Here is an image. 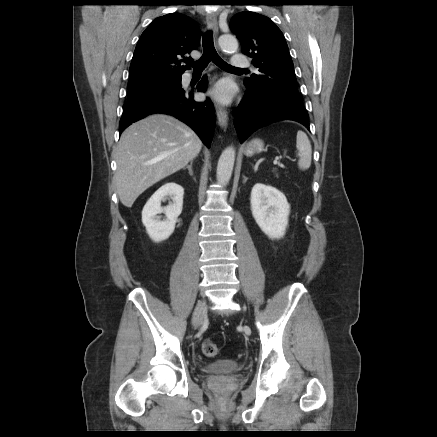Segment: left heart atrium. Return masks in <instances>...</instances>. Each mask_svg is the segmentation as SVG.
Listing matches in <instances>:
<instances>
[{"label": "left heart atrium", "mask_w": 437, "mask_h": 437, "mask_svg": "<svg viewBox=\"0 0 437 437\" xmlns=\"http://www.w3.org/2000/svg\"><path fill=\"white\" fill-rule=\"evenodd\" d=\"M211 94L217 101L228 103L233 96V87L228 82H220L214 87Z\"/></svg>", "instance_id": "39dd6f15"}]
</instances>
